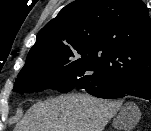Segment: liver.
Returning a JSON list of instances; mask_svg holds the SVG:
<instances>
[{
    "label": "liver",
    "instance_id": "6515ba94",
    "mask_svg": "<svg viewBox=\"0 0 151 131\" xmlns=\"http://www.w3.org/2000/svg\"><path fill=\"white\" fill-rule=\"evenodd\" d=\"M119 107L88 94L59 96L31 106L14 131H103Z\"/></svg>",
    "mask_w": 151,
    "mask_h": 131
}]
</instances>
